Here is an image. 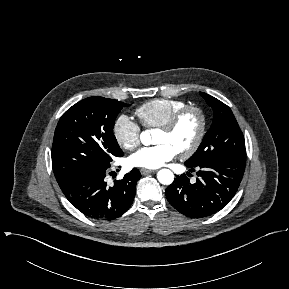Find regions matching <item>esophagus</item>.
<instances>
[{"instance_id":"34e87169","label":"esophagus","mask_w":289,"mask_h":289,"mask_svg":"<svg viewBox=\"0 0 289 289\" xmlns=\"http://www.w3.org/2000/svg\"><path fill=\"white\" fill-rule=\"evenodd\" d=\"M155 172H156L155 170H150V169H145V168L140 169V173L142 175H147V174H151V173H155Z\"/></svg>"}]
</instances>
